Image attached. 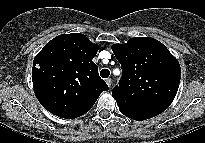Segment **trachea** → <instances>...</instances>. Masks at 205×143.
Segmentation results:
<instances>
[{"label":"trachea","instance_id":"3493384b","mask_svg":"<svg viewBox=\"0 0 205 143\" xmlns=\"http://www.w3.org/2000/svg\"><path fill=\"white\" fill-rule=\"evenodd\" d=\"M109 75H110V71H109L108 69H102V70L100 71V76H101L102 78H107Z\"/></svg>","mask_w":205,"mask_h":143}]
</instances>
